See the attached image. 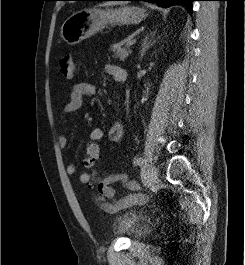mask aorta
<instances>
[{
    "instance_id": "1",
    "label": "aorta",
    "mask_w": 245,
    "mask_h": 265,
    "mask_svg": "<svg viewBox=\"0 0 245 265\" xmlns=\"http://www.w3.org/2000/svg\"><path fill=\"white\" fill-rule=\"evenodd\" d=\"M144 93H145V94H144L143 100H145V98H146L147 95H148V88H147V91H145Z\"/></svg>"
}]
</instances>
